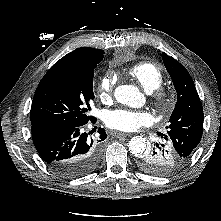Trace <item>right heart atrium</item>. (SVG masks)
Masks as SVG:
<instances>
[{"label":"right heart atrium","instance_id":"d8ad5b80","mask_svg":"<svg viewBox=\"0 0 221 221\" xmlns=\"http://www.w3.org/2000/svg\"><path fill=\"white\" fill-rule=\"evenodd\" d=\"M115 77L112 73H106L104 74L97 85V97L105 102L108 101L111 98V93L113 90V86L115 84Z\"/></svg>","mask_w":221,"mask_h":221}]
</instances>
